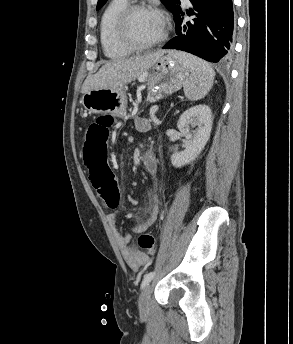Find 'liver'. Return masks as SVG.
Instances as JSON below:
<instances>
[{"instance_id":"6515ba94","label":"liver","mask_w":293,"mask_h":344,"mask_svg":"<svg viewBox=\"0 0 293 344\" xmlns=\"http://www.w3.org/2000/svg\"><path fill=\"white\" fill-rule=\"evenodd\" d=\"M164 53V51H157L143 56L107 62L97 73L86 78L81 92L85 94L97 89H116L119 86L130 83L150 69Z\"/></svg>"}]
</instances>
